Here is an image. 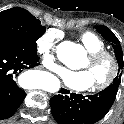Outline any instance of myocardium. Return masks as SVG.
Segmentation results:
<instances>
[{
	"label": "myocardium",
	"mask_w": 124,
	"mask_h": 124,
	"mask_svg": "<svg viewBox=\"0 0 124 124\" xmlns=\"http://www.w3.org/2000/svg\"><path fill=\"white\" fill-rule=\"evenodd\" d=\"M88 58L92 64H95L100 61H107L110 64V72L107 77L93 85V90L103 91L107 89L116 79L119 71V64L116 57L107 50H98L89 52Z\"/></svg>",
	"instance_id": "f54148a6"
}]
</instances>
